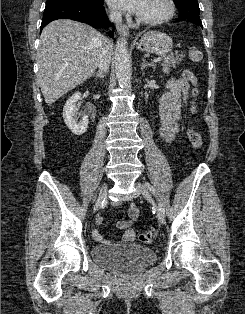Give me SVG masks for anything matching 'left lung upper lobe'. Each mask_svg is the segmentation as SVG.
<instances>
[{"label": "left lung upper lobe", "mask_w": 245, "mask_h": 314, "mask_svg": "<svg viewBox=\"0 0 245 314\" xmlns=\"http://www.w3.org/2000/svg\"><path fill=\"white\" fill-rule=\"evenodd\" d=\"M179 10L180 20H189L195 24L202 25L199 17V5L197 0H173Z\"/></svg>", "instance_id": "1"}]
</instances>
